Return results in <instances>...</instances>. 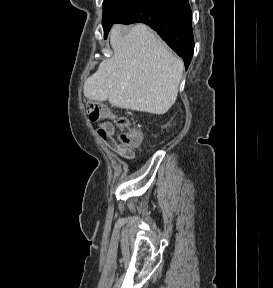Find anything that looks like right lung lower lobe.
<instances>
[{"label": "right lung lower lobe", "instance_id": "obj_1", "mask_svg": "<svg viewBox=\"0 0 273 288\" xmlns=\"http://www.w3.org/2000/svg\"><path fill=\"white\" fill-rule=\"evenodd\" d=\"M188 0H137L116 23L141 22L154 29L188 68L194 51Z\"/></svg>", "mask_w": 273, "mask_h": 288}]
</instances>
